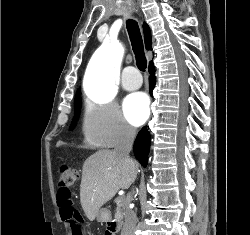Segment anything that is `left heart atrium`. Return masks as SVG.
Returning <instances> with one entry per match:
<instances>
[{"label": "left heart atrium", "instance_id": "39dd6f15", "mask_svg": "<svg viewBox=\"0 0 250 235\" xmlns=\"http://www.w3.org/2000/svg\"><path fill=\"white\" fill-rule=\"evenodd\" d=\"M123 110L130 123L141 125L149 115V100L144 93L131 94L125 99Z\"/></svg>", "mask_w": 250, "mask_h": 235}]
</instances>
